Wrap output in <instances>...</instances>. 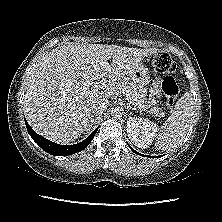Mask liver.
Masks as SVG:
<instances>
[{
  "instance_id": "6515ba94",
  "label": "liver",
  "mask_w": 222,
  "mask_h": 222,
  "mask_svg": "<svg viewBox=\"0 0 222 222\" xmlns=\"http://www.w3.org/2000/svg\"><path fill=\"white\" fill-rule=\"evenodd\" d=\"M156 52L76 43L52 49L40 58L27 83L23 108L29 125L50 141H75L89 126L92 105L118 94L127 74Z\"/></svg>"
}]
</instances>
